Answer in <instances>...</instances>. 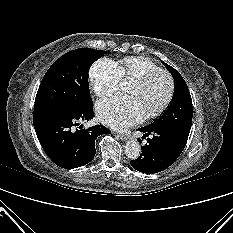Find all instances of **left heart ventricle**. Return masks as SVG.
Listing matches in <instances>:
<instances>
[{
	"instance_id": "left-heart-ventricle-1",
	"label": "left heart ventricle",
	"mask_w": 233,
	"mask_h": 233,
	"mask_svg": "<svg viewBox=\"0 0 233 233\" xmlns=\"http://www.w3.org/2000/svg\"><path fill=\"white\" fill-rule=\"evenodd\" d=\"M167 93L168 81L162 74L155 75L143 85L132 82L129 87V94L140 100L146 113L160 106Z\"/></svg>"
}]
</instances>
